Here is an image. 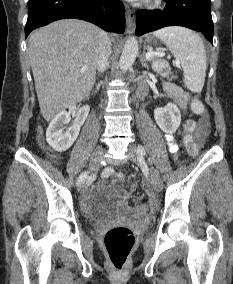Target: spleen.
<instances>
[{
  "label": "spleen",
  "mask_w": 233,
  "mask_h": 284,
  "mask_svg": "<svg viewBox=\"0 0 233 284\" xmlns=\"http://www.w3.org/2000/svg\"><path fill=\"white\" fill-rule=\"evenodd\" d=\"M154 36L163 41L181 62L186 87L200 93L204 86L207 69L206 51L200 36L180 26L157 30Z\"/></svg>",
  "instance_id": "1"
}]
</instances>
